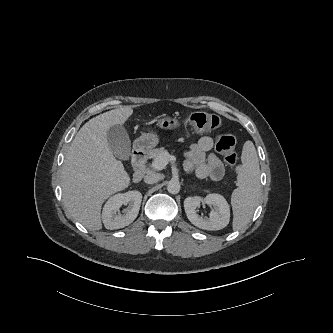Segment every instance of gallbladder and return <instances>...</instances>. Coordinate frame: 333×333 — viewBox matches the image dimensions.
<instances>
[{"instance_id": "bac80fb5", "label": "gallbladder", "mask_w": 333, "mask_h": 333, "mask_svg": "<svg viewBox=\"0 0 333 333\" xmlns=\"http://www.w3.org/2000/svg\"><path fill=\"white\" fill-rule=\"evenodd\" d=\"M108 146L115 157L129 160L131 142L126 129L121 125H114L107 131Z\"/></svg>"}]
</instances>
